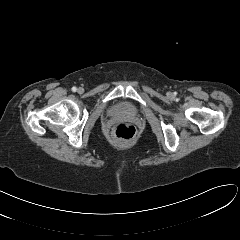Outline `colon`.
Returning <instances> with one entry per match:
<instances>
[{"label":"colon","mask_w":240,"mask_h":240,"mask_svg":"<svg viewBox=\"0 0 240 240\" xmlns=\"http://www.w3.org/2000/svg\"><path fill=\"white\" fill-rule=\"evenodd\" d=\"M112 135L120 140H132L136 136V128L130 123H118L112 128Z\"/></svg>","instance_id":"obj_1"}]
</instances>
